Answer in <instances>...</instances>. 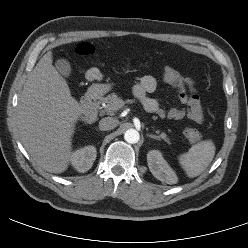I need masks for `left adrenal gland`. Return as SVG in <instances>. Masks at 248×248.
Listing matches in <instances>:
<instances>
[{"mask_svg":"<svg viewBox=\"0 0 248 248\" xmlns=\"http://www.w3.org/2000/svg\"><path fill=\"white\" fill-rule=\"evenodd\" d=\"M148 137L159 140V137L153 134H147Z\"/></svg>","mask_w":248,"mask_h":248,"instance_id":"obj_1","label":"left adrenal gland"}]
</instances>
